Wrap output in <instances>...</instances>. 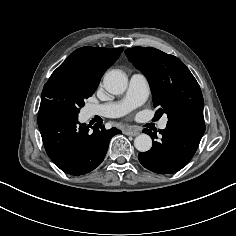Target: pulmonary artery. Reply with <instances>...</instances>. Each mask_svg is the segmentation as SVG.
Here are the masks:
<instances>
[{
	"label": "pulmonary artery",
	"mask_w": 236,
	"mask_h": 236,
	"mask_svg": "<svg viewBox=\"0 0 236 236\" xmlns=\"http://www.w3.org/2000/svg\"><path fill=\"white\" fill-rule=\"evenodd\" d=\"M148 95L149 87L146 76L142 73H134L130 77L128 90L123 100L98 105H89L87 107V115L89 117H120L141 105L147 99ZM167 121V118L164 117L159 123V128L165 129Z\"/></svg>",
	"instance_id": "e3ab8cb5"
}]
</instances>
